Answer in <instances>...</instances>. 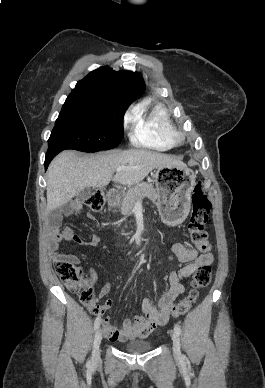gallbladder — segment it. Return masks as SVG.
Masks as SVG:
<instances>
[{"label":"gallbladder","instance_id":"bac80fb5","mask_svg":"<svg viewBox=\"0 0 265 388\" xmlns=\"http://www.w3.org/2000/svg\"><path fill=\"white\" fill-rule=\"evenodd\" d=\"M90 196V188H83L82 192L77 194L78 200H87Z\"/></svg>","mask_w":265,"mask_h":388}]
</instances>
